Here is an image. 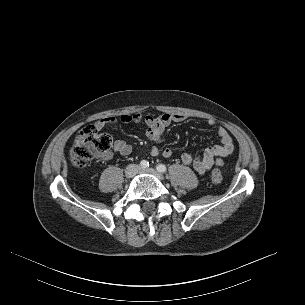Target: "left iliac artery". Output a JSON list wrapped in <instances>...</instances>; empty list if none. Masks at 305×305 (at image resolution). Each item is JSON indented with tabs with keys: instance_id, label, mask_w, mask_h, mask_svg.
Returning a JSON list of instances; mask_svg holds the SVG:
<instances>
[{
	"instance_id": "44dca946",
	"label": "left iliac artery",
	"mask_w": 305,
	"mask_h": 305,
	"mask_svg": "<svg viewBox=\"0 0 305 305\" xmlns=\"http://www.w3.org/2000/svg\"><path fill=\"white\" fill-rule=\"evenodd\" d=\"M156 169L159 171V172H166L167 168L164 164H158L156 166Z\"/></svg>"
}]
</instances>
